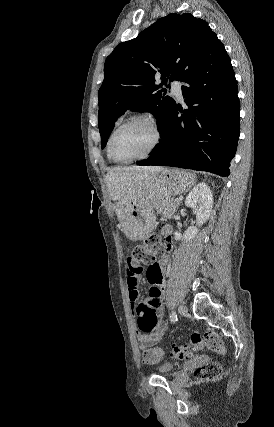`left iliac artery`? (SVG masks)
Masks as SVG:
<instances>
[{"mask_svg":"<svg viewBox=\"0 0 274 427\" xmlns=\"http://www.w3.org/2000/svg\"><path fill=\"white\" fill-rule=\"evenodd\" d=\"M170 319H171V322H172V323H174V322H176V321L178 320V318H177V314H176V312H175V311H172V312H171V314H170Z\"/></svg>","mask_w":274,"mask_h":427,"instance_id":"1","label":"left iliac artery"}]
</instances>
